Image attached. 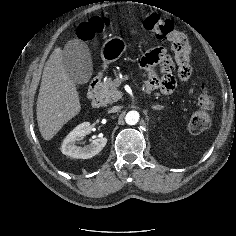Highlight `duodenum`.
Instances as JSON below:
<instances>
[{"mask_svg": "<svg viewBox=\"0 0 236 236\" xmlns=\"http://www.w3.org/2000/svg\"><path fill=\"white\" fill-rule=\"evenodd\" d=\"M100 84V78H94L89 86L88 98L93 108H98L101 105V97L99 94L98 86Z\"/></svg>", "mask_w": 236, "mask_h": 236, "instance_id": "410a0bca", "label": "duodenum"}]
</instances>
